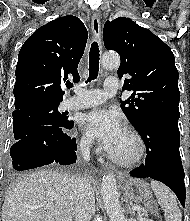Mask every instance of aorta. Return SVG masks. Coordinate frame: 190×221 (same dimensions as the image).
<instances>
[{
	"mask_svg": "<svg viewBox=\"0 0 190 221\" xmlns=\"http://www.w3.org/2000/svg\"><path fill=\"white\" fill-rule=\"evenodd\" d=\"M102 64L106 69H115L120 64V57L118 54H105L102 57ZM101 196L111 221H127L120 205L116 178L112 173L103 176Z\"/></svg>",
	"mask_w": 190,
	"mask_h": 221,
	"instance_id": "obj_1",
	"label": "aorta"
}]
</instances>
